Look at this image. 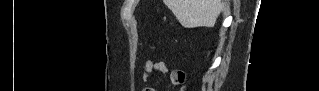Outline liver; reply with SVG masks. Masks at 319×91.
Returning <instances> with one entry per match:
<instances>
[{"mask_svg": "<svg viewBox=\"0 0 319 91\" xmlns=\"http://www.w3.org/2000/svg\"><path fill=\"white\" fill-rule=\"evenodd\" d=\"M185 28L213 27L224 7L221 0H164Z\"/></svg>", "mask_w": 319, "mask_h": 91, "instance_id": "1", "label": "liver"}]
</instances>
